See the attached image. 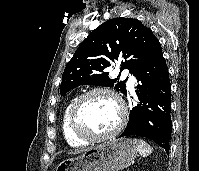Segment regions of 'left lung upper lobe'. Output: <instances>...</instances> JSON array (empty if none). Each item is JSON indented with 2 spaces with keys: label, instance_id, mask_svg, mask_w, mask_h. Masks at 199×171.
Instances as JSON below:
<instances>
[{
  "label": "left lung upper lobe",
  "instance_id": "left-lung-upper-lobe-1",
  "mask_svg": "<svg viewBox=\"0 0 199 171\" xmlns=\"http://www.w3.org/2000/svg\"><path fill=\"white\" fill-rule=\"evenodd\" d=\"M158 42L151 29L137 19L104 22L87 36L66 65L60 93L65 95L79 85H101L114 86L125 95V81L110 79L104 70L113 62H121V71L129 69L135 75Z\"/></svg>",
  "mask_w": 199,
  "mask_h": 171
}]
</instances>
